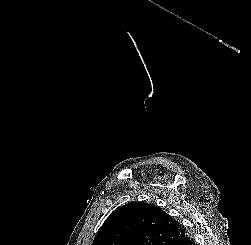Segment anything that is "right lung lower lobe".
Instances as JSON below:
<instances>
[{
  "mask_svg": "<svg viewBox=\"0 0 251 245\" xmlns=\"http://www.w3.org/2000/svg\"><path fill=\"white\" fill-rule=\"evenodd\" d=\"M172 245H195L193 239L186 233L184 237L172 243Z\"/></svg>",
  "mask_w": 251,
  "mask_h": 245,
  "instance_id": "98d812e1",
  "label": "right lung lower lobe"
}]
</instances>
